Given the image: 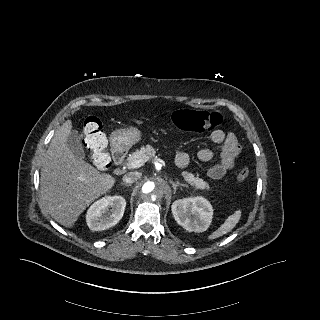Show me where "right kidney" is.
Masks as SVG:
<instances>
[{
    "mask_svg": "<svg viewBox=\"0 0 320 320\" xmlns=\"http://www.w3.org/2000/svg\"><path fill=\"white\" fill-rule=\"evenodd\" d=\"M126 201L122 196H105L88 209L86 221L93 231L106 230L116 225L123 217Z\"/></svg>",
    "mask_w": 320,
    "mask_h": 320,
    "instance_id": "obj_1",
    "label": "right kidney"
}]
</instances>
